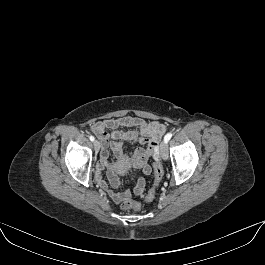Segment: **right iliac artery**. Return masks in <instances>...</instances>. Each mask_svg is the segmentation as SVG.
I'll use <instances>...</instances> for the list:
<instances>
[{"instance_id":"right-iliac-artery-1","label":"right iliac artery","mask_w":265,"mask_h":265,"mask_svg":"<svg viewBox=\"0 0 265 265\" xmlns=\"http://www.w3.org/2000/svg\"><path fill=\"white\" fill-rule=\"evenodd\" d=\"M89 139H90V141H92V142L95 140L94 136H92V135L89 137Z\"/></svg>"}]
</instances>
